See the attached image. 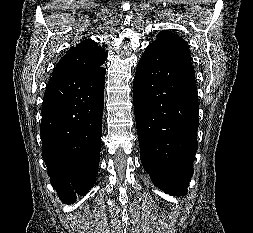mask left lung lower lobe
Returning a JSON list of instances; mask_svg holds the SVG:
<instances>
[{
    "label": "left lung lower lobe",
    "mask_w": 253,
    "mask_h": 233,
    "mask_svg": "<svg viewBox=\"0 0 253 233\" xmlns=\"http://www.w3.org/2000/svg\"><path fill=\"white\" fill-rule=\"evenodd\" d=\"M191 60L149 44L133 83L142 165L153 183L171 195L186 194L198 148L199 104Z\"/></svg>",
    "instance_id": "obj_1"
}]
</instances>
